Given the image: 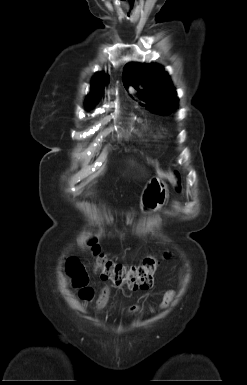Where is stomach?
Returning <instances> with one entry per match:
<instances>
[{
  "label": "stomach",
  "instance_id": "obj_1",
  "mask_svg": "<svg viewBox=\"0 0 247 385\" xmlns=\"http://www.w3.org/2000/svg\"><path fill=\"white\" fill-rule=\"evenodd\" d=\"M168 199L167 185L160 178H152L145 186L140 207L144 212H153L160 209Z\"/></svg>",
  "mask_w": 247,
  "mask_h": 385
}]
</instances>
